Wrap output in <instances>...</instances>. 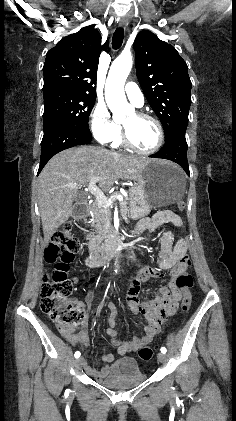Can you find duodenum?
I'll use <instances>...</instances> for the list:
<instances>
[{
    "label": "duodenum",
    "mask_w": 236,
    "mask_h": 421,
    "mask_svg": "<svg viewBox=\"0 0 236 421\" xmlns=\"http://www.w3.org/2000/svg\"><path fill=\"white\" fill-rule=\"evenodd\" d=\"M87 209H88L87 200L78 202L73 208V217L77 221H84L87 216ZM121 243H122V239L120 235L116 233L108 235L105 242L99 248L95 249L91 254H89L85 258V264L88 267H99L105 264L107 261H109L112 258L115 250L121 245ZM160 260L161 261L172 260V262H174V260L172 259V256H162ZM151 275H152L151 272H149L148 270H143L141 272L142 277H149ZM176 296H177L176 293L171 295L169 294L167 290L161 289L159 296L153 302L154 307L152 308V310L150 309L143 310V313H145L146 311V313L149 314V318H150V325L146 329L147 334L144 338L156 333L157 331L156 319L157 318H160L162 315H165V314H168V315L172 314ZM137 310H141V308H138ZM109 334L111 336H115L116 331L113 329H109ZM113 343L116 346H120L119 351L122 354L125 353L126 351L132 350L133 346L135 345V342L130 343V344H123L116 340H114ZM103 360L105 362H110L113 360V356L106 355L103 357ZM87 370L92 376H94L97 379H100L104 373V369H102L101 371H96L93 368L87 367Z\"/></svg>",
    "instance_id": "1"
}]
</instances>
